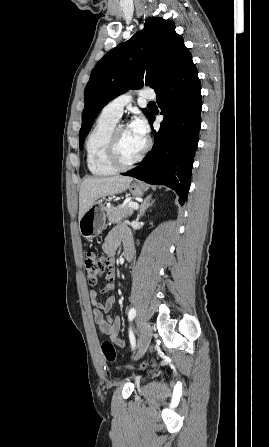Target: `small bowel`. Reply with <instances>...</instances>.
Here are the masks:
<instances>
[{
  "label": "small bowel",
  "mask_w": 269,
  "mask_h": 447,
  "mask_svg": "<svg viewBox=\"0 0 269 447\" xmlns=\"http://www.w3.org/2000/svg\"><path fill=\"white\" fill-rule=\"evenodd\" d=\"M123 240L125 251H133V243L129 234L125 233L122 226H117L113 228L102 245L103 251L108 255H113L119 245ZM114 273L109 272L107 274L108 283L102 289L103 293H109L114 290ZM90 303L94 307L93 317L98 326L99 331L109 336V338L120 348L125 346V341L119 337L121 330V320L119 317H106V315L111 311L114 303L115 297L113 295H108L104 301L98 299V293L96 291H91L90 293Z\"/></svg>",
  "instance_id": "small-bowel-1"
}]
</instances>
